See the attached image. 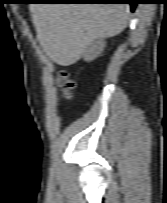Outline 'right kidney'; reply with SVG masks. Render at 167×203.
Returning <instances> with one entry per match:
<instances>
[{"instance_id":"right-kidney-1","label":"right kidney","mask_w":167,"mask_h":203,"mask_svg":"<svg viewBox=\"0 0 167 203\" xmlns=\"http://www.w3.org/2000/svg\"><path fill=\"white\" fill-rule=\"evenodd\" d=\"M105 48V42L103 39H98L95 41L87 50L84 52V59L86 61H92L98 57L103 49Z\"/></svg>"}]
</instances>
